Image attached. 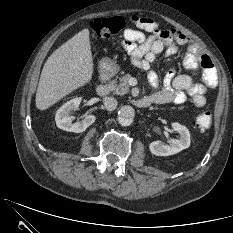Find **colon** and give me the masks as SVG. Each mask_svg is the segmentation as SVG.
I'll return each instance as SVG.
<instances>
[{
    "mask_svg": "<svg viewBox=\"0 0 233 233\" xmlns=\"http://www.w3.org/2000/svg\"><path fill=\"white\" fill-rule=\"evenodd\" d=\"M93 34L98 38H109L118 35L125 27V19L120 16L94 19L91 24ZM212 122L209 111L202 112L193 121V126L199 131L208 129Z\"/></svg>",
    "mask_w": 233,
    "mask_h": 233,
    "instance_id": "1",
    "label": "colon"
}]
</instances>
